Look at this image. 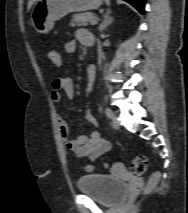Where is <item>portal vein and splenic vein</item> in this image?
Instances as JSON below:
<instances>
[{
	"label": "portal vein and splenic vein",
	"instance_id": "18ae733b",
	"mask_svg": "<svg viewBox=\"0 0 188 213\" xmlns=\"http://www.w3.org/2000/svg\"><path fill=\"white\" fill-rule=\"evenodd\" d=\"M90 24L91 25H96L97 24V20L95 18L90 20Z\"/></svg>",
	"mask_w": 188,
	"mask_h": 213
}]
</instances>
